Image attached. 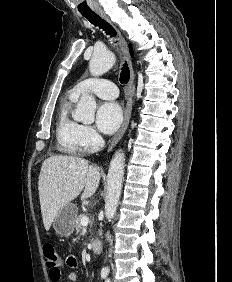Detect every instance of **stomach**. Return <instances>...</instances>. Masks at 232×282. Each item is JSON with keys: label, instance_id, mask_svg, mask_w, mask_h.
I'll return each instance as SVG.
<instances>
[{"label": "stomach", "instance_id": "obj_1", "mask_svg": "<svg viewBox=\"0 0 232 282\" xmlns=\"http://www.w3.org/2000/svg\"><path fill=\"white\" fill-rule=\"evenodd\" d=\"M77 207L69 203L61 208L53 220V228L61 237H69L75 229V221L77 217Z\"/></svg>", "mask_w": 232, "mask_h": 282}]
</instances>
